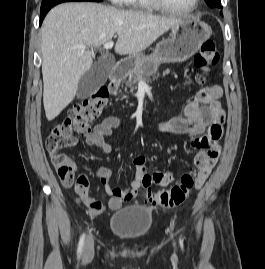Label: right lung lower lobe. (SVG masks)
Returning a JSON list of instances; mask_svg holds the SVG:
<instances>
[{
  "label": "right lung lower lobe",
  "mask_w": 265,
  "mask_h": 269,
  "mask_svg": "<svg viewBox=\"0 0 265 269\" xmlns=\"http://www.w3.org/2000/svg\"><path fill=\"white\" fill-rule=\"evenodd\" d=\"M81 2V1H90V2H101L97 0H42L41 10H40V25L47 14V12L54 7L55 5L63 2Z\"/></svg>",
  "instance_id": "obj_1"
}]
</instances>
